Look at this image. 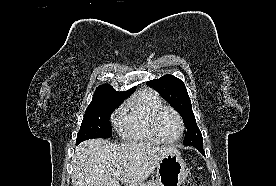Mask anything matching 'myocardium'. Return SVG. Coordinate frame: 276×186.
Returning a JSON list of instances; mask_svg holds the SVG:
<instances>
[{
	"instance_id": "1",
	"label": "myocardium",
	"mask_w": 276,
	"mask_h": 186,
	"mask_svg": "<svg viewBox=\"0 0 276 186\" xmlns=\"http://www.w3.org/2000/svg\"><path fill=\"white\" fill-rule=\"evenodd\" d=\"M164 111H170V112H172L177 117V119H178V121L180 123L181 131H180L179 136L176 137L175 139H172V140L166 139L160 133V131L158 129V119H159V117L161 116V114ZM151 129H152L153 134L161 142L166 143V144H174V143L180 141L182 139V137L184 136V133H185V123H184V119H183L182 115L176 109H174L173 107L168 106V105H163V106L159 107L157 110H155V112L153 113L152 118H151Z\"/></svg>"
}]
</instances>
